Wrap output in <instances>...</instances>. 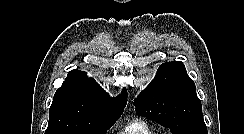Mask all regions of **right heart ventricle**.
<instances>
[{
  "label": "right heart ventricle",
  "instance_id": "obj_1",
  "mask_svg": "<svg viewBox=\"0 0 244 134\" xmlns=\"http://www.w3.org/2000/svg\"><path fill=\"white\" fill-rule=\"evenodd\" d=\"M118 134H157L144 121L133 120L129 122Z\"/></svg>",
  "mask_w": 244,
  "mask_h": 134
}]
</instances>
